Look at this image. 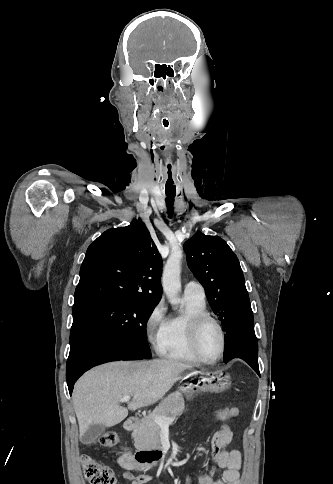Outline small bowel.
I'll use <instances>...</instances> for the list:
<instances>
[{
	"mask_svg": "<svg viewBox=\"0 0 333 484\" xmlns=\"http://www.w3.org/2000/svg\"><path fill=\"white\" fill-rule=\"evenodd\" d=\"M239 415L237 407L229 408L227 419ZM233 437L232 430L227 424H223L214 432L211 438L210 456L212 460L211 469L208 472H199V484H240L241 454L238 450H227ZM219 468L222 474L218 479H214L213 470ZM123 476L131 484H144L151 480L148 475L135 476L129 472H124ZM188 477L186 484H190Z\"/></svg>",
	"mask_w": 333,
	"mask_h": 484,
	"instance_id": "c3829d8e",
	"label": "small bowel"
}]
</instances>
